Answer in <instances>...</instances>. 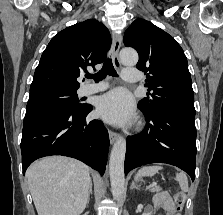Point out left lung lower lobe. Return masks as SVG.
Returning a JSON list of instances; mask_svg holds the SVG:
<instances>
[{"label": "left lung lower lobe", "instance_id": "obj_1", "mask_svg": "<svg viewBox=\"0 0 223 215\" xmlns=\"http://www.w3.org/2000/svg\"><path fill=\"white\" fill-rule=\"evenodd\" d=\"M142 112L146 127L140 134L127 138L125 174L141 165L167 163L181 168L194 181L195 115L165 109Z\"/></svg>", "mask_w": 223, "mask_h": 215}]
</instances>
